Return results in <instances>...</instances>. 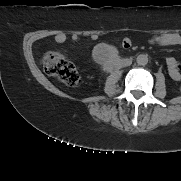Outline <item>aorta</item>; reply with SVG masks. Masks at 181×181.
Masks as SVG:
<instances>
[{"instance_id":"aorta-1","label":"aorta","mask_w":181,"mask_h":181,"mask_svg":"<svg viewBox=\"0 0 181 181\" xmlns=\"http://www.w3.org/2000/svg\"><path fill=\"white\" fill-rule=\"evenodd\" d=\"M136 62L138 65L145 66L148 63V55L140 54L136 58Z\"/></svg>"}]
</instances>
